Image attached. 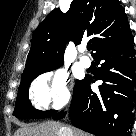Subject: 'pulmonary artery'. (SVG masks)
I'll return each instance as SVG.
<instances>
[{
    "mask_svg": "<svg viewBox=\"0 0 136 136\" xmlns=\"http://www.w3.org/2000/svg\"><path fill=\"white\" fill-rule=\"evenodd\" d=\"M81 51L83 52V51H84V48H82ZM80 63H81V65H82L83 67L88 68V67L91 65V60H90V58H89L88 56L82 55V56L80 57Z\"/></svg>",
    "mask_w": 136,
    "mask_h": 136,
    "instance_id": "1",
    "label": "pulmonary artery"
}]
</instances>
